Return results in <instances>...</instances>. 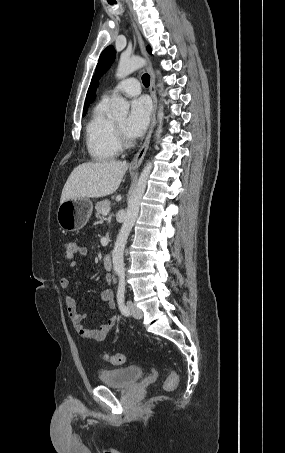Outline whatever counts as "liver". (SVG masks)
Wrapping results in <instances>:
<instances>
[{
  "label": "liver",
  "instance_id": "liver-1",
  "mask_svg": "<svg viewBox=\"0 0 285 453\" xmlns=\"http://www.w3.org/2000/svg\"><path fill=\"white\" fill-rule=\"evenodd\" d=\"M128 169L125 161L102 160L77 166L68 177L60 204L76 198H99L114 193Z\"/></svg>",
  "mask_w": 285,
  "mask_h": 453
}]
</instances>
